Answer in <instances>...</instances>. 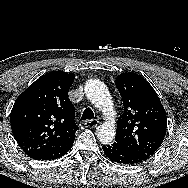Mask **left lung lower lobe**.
Returning <instances> with one entry per match:
<instances>
[{"mask_svg":"<svg viewBox=\"0 0 188 188\" xmlns=\"http://www.w3.org/2000/svg\"><path fill=\"white\" fill-rule=\"evenodd\" d=\"M105 155L114 162L120 164H135L147 159L144 155L123 147L119 144L113 143L111 145L103 146Z\"/></svg>","mask_w":188,"mask_h":188,"instance_id":"obj_1","label":"left lung lower lobe"}]
</instances>
